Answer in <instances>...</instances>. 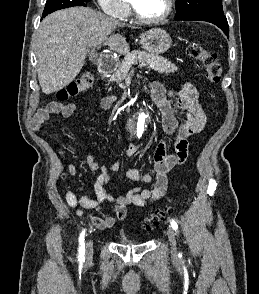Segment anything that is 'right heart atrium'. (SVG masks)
Segmentation results:
<instances>
[{"mask_svg": "<svg viewBox=\"0 0 259 294\" xmlns=\"http://www.w3.org/2000/svg\"><path fill=\"white\" fill-rule=\"evenodd\" d=\"M101 9L109 16L119 20L128 17L130 8L126 0H97Z\"/></svg>", "mask_w": 259, "mask_h": 294, "instance_id": "obj_1", "label": "right heart atrium"}]
</instances>
